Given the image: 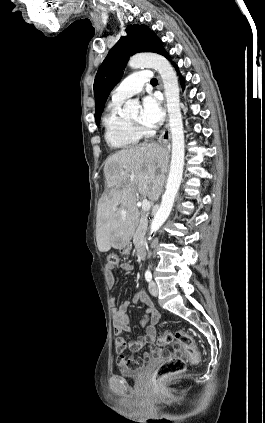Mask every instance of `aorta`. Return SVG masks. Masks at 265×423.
<instances>
[{"instance_id":"aorta-1","label":"aorta","mask_w":265,"mask_h":423,"mask_svg":"<svg viewBox=\"0 0 265 423\" xmlns=\"http://www.w3.org/2000/svg\"><path fill=\"white\" fill-rule=\"evenodd\" d=\"M128 65L132 69L153 68L159 72L163 82L171 129L172 157L170 171L161 205L150 225L149 235H151L155 233L168 218L183 175L185 145L183 121L180 110L179 85L174 69L169 61L162 55L156 53L137 54L130 58ZM138 107L139 103L137 101L128 100L123 107V112L130 113Z\"/></svg>"}]
</instances>
